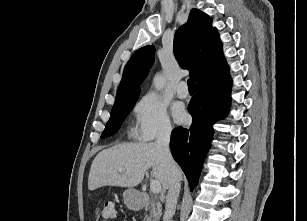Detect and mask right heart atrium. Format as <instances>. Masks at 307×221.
<instances>
[{
	"label": "right heart atrium",
	"instance_id": "d8ad5b80",
	"mask_svg": "<svg viewBox=\"0 0 307 221\" xmlns=\"http://www.w3.org/2000/svg\"><path fill=\"white\" fill-rule=\"evenodd\" d=\"M134 115V136L140 141L166 137L173 131L166 105L155 93H147L139 99Z\"/></svg>",
	"mask_w": 307,
	"mask_h": 221
}]
</instances>
